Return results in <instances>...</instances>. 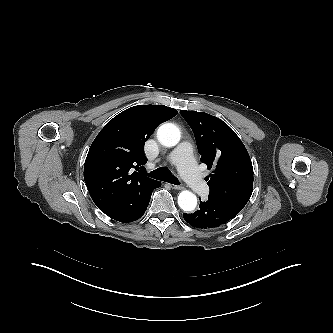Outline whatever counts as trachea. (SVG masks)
Returning a JSON list of instances; mask_svg holds the SVG:
<instances>
[{
    "label": "trachea",
    "mask_w": 333,
    "mask_h": 333,
    "mask_svg": "<svg viewBox=\"0 0 333 333\" xmlns=\"http://www.w3.org/2000/svg\"><path fill=\"white\" fill-rule=\"evenodd\" d=\"M145 174L146 171H144ZM149 177L157 179V180H161V181H165L171 184H175V185H179V180L170 173V171H168L167 168L165 167H160L154 171H151L150 173L147 174Z\"/></svg>",
    "instance_id": "3493384b"
}]
</instances>
